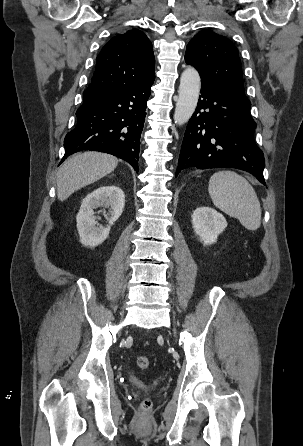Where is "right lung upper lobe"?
<instances>
[{
	"instance_id": "obj_1",
	"label": "right lung upper lobe",
	"mask_w": 303,
	"mask_h": 446,
	"mask_svg": "<svg viewBox=\"0 0 303 446\" xmlns=\"http://www.w3.org/2000/svg\"><path fill=\"white\" fill-rule=\"evenodd\" d=\"M96 60L92 81L83 93L84 101L155 78L152 44L137 29L113 37Z\"/></svg>"
}]
</instances>
